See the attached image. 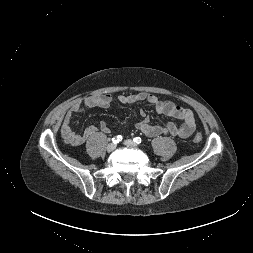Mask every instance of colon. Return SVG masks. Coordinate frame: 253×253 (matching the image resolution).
<instances>
[{
  "mask_svg": "<svg viewBox=\"0 0 253 253\" xmlns=\"http://www.w3.org/2000/svg\"><path fill=\"white\" fill-rule=\"evenodd\" d=\"M202 140V133L198 132L193 136V141L195 143H199Z\"/></svg>",
  "mask_w": 253,
  "mask_h": 253,
  "instance_id": "obj_1",
  "label": "colon"
}]
</instances>
